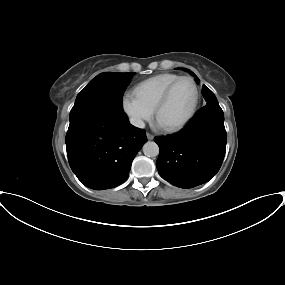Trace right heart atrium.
Wrapping results in <instances>:
<instances>
[{"label":"right heart atrium","mask_w":285,"mask_h":285,"mask_svg":"<svg viewBox=\"0 0 285 285\" xmlns=\"http://www.w3.org/2000/svg\"><path fill=\"white\" fill-rule=\"evenodd\" d=\"M121 106L129 121L136 127H142L153 116V110L143 104L133 93H125Z\"/></svg>","instance_id":"obj_1"}]
</instances>
